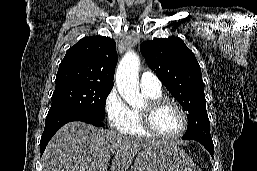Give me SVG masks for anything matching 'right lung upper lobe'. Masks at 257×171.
Here are the masks:
<instances>
[{"instance_id":"cb5924a9","label":"right lung upper lobe","mask_w":257,"mask_h":171,"mask_svg":"<svg viewBox=\"0 0 257 171\" xmlns=\"http://www.w3.org/2000/svg\"><path fill=\"white\" fill-rule=\"evenodd\" d=\"M117 61L113 39L85 37L66 52L57 72L56 88L76 83L113 87Z\"/></svg>"}]
</instances>
